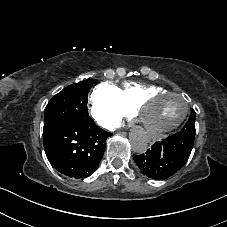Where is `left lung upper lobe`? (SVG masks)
Masks as SVG:
<instances>
[{
  "mask_svg": "<svg viewBox=\"0 0 227 227\" xmlns=\"http://www.w3.org/2000/svg\"><path fill=\"white\" fill-rule=\"evenodd\" d=\"M195 118H196V113L193 109H191V116L189 117L188 122L185 124V126L181 129L179 133L195 136V133H196Z\"/></svg>",
  "mask_w": 227,
  "mask_h": 227,
  "instance_id": "5c2ea615",
  "label": "left lung upper lobe"
}]
</instances>
